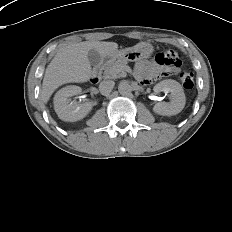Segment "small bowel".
Wrapping results in <instances>:
<instances>
[{"label": "small bowel", "mask_w": 232, "mask_h": 232, "mask_svg": "<svg viewBox=\"0 0 232 232\" xmlns=\"http://www.w3.org/2000/svg\"><path fill=\"white\" fill-rule=\"evenodd\" d=\"M136 75L142 84H147L149 81L177 79L180 76V71L174 67L155 66L151 61H139L136 64Z\"/></svg>", "instance_id": "obj_1"}]
</instances>
